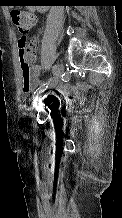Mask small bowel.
I'll return each mask as SVG.
<instances>
[{
    "label": "small bowel",
    "instance_id": "obj_1",
    "mask_svg": "<svg viewBox=\"0 0 122 218\" xmlns=\"http://www.w3.org/2000/svg\"><path fill=\"white\" fill-rule=\"evenodd\" d=\"M34 47V46H33ZM35 49L32 48V54H31V73H32V80H33V86L32 89L36 88L39 85L40 77H41V68L39 65L35 63ZM61 94L64 98L67 100H72L74 98V95L72 94V91L69 87H62L60 89Z\"/></svg>",
    "mask_w": 122,
    "mask_h": 218
}]
</instances>
